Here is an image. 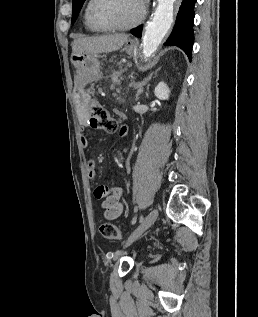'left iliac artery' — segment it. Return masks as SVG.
<instances>
[{"label": "left iliac artery", "mask_w": 258, "mask_h": 317, "mask_svg": "<svg viewBox=\"0 0 258 317\" xmlns=\"http://www.w3.org/2000/svg\"><path fill=\"white\" fill-rule=\"evenodd\" d=\"M137 208H135V216L133 217L131 224L134 225L137 222Z\"/></svg>", "instance_id": "1"}]
</instances>
